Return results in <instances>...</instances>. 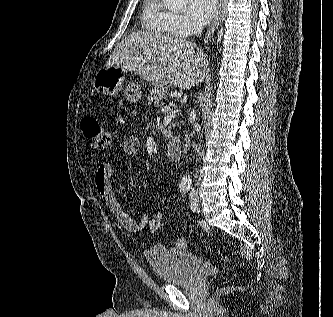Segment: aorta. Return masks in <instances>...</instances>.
<instances>
[{
  "label": "aorta",
  "mask_w": 333,
  "mask_h": 317,
  "mask_svg": "<svg viewBox=\"0 0 333 317\" xmlns=\"http://www.w3.org/2000/svg\"><path fill=\"white\" fill-rule=\"evenodd\" d=\"M166 7L171 9H179L185 6L188 2V0H163ZM191 178L189 175H184L181 179V183H190Z\"/></svg>",
  "instance_id": "762f6f07"
}]
</instances>
